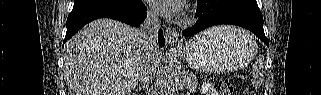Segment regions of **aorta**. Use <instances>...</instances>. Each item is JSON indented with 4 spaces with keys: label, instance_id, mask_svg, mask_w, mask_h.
<instances>
[{
    "label": "aorta",
    "instance_id": "1",
    "mask_svg": "<svg viewBox=\"0 0 321 95\" xmlns=\"http://www.w3.org/2000/svg\"><path fill=\"white\" fill-rule=\"evenodd\" d=\"M179 54L173 47L166 53L159 78L160 95H174L179 80Z\"/></svg>",
    "mask_w": 321,
    "mask_h": 95
}]
</instances>
